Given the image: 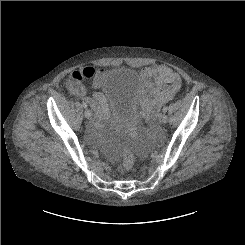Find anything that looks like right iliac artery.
Wrapping results in <instances>:
<instances>
[{"instance_id": "82829eb1", "label": "right iliac artery", "mask_w": 245, "mask_h": 245, "mask_svg": "<svg viewBox=\"0 0 245 245\" xmlns=\"http://www.w3.org/2000/svg\"><path fill=\"white\" fill-rule=\"evenodd\" d=\"M82 105L84 108H87V104L85 102H82Z\"/></svg>"}]
</instances>
